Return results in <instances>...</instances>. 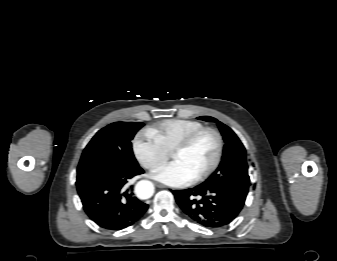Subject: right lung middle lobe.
I'll use <instances>...</instances> for the list:
<instances>
[{
	"mask_svg": "<svg viewBox=\"0 0 337 261\" xmlns=\"http://www.w3.org/2000/svg\"><path fill=\"white\" fill-rule=\"evenodd\" d=\"M143 126L140 122H115L98 131L82 153L76 185L139 167L131 140Z\"/></svg>",
	"mask_w": 337,
	"mask_h": 261,
	"instance_id": "obj_1",
	"label": "right lung middle lobe"
}]
</instances>
